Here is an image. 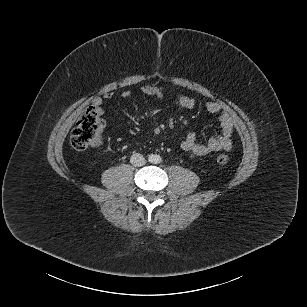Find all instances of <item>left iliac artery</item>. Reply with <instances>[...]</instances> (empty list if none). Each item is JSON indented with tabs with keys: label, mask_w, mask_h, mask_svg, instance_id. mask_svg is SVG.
Masks as SVG:
<instances>
[{
	"label": "left iliac artery",
	"mask_w": 307,
	"mask_h": 307,
	"mask_svg": "<svg viewBox=\"0 0 307 307\" xmlns=\"http://www.w3.org/2000/svg\"><path fill=\"white\" fill-rule=\"evenodd\" d=\"M156 161H157V162H160V161H161V158H160V157H157Z\"/></svg>",
	"instance_id": "44dca946"
}]
</instances>
